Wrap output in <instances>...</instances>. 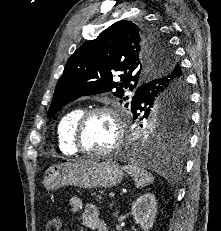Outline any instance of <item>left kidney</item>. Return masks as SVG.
<instances>
[{"mask_svg":"<svg viewBox=\"0 0 221 231\" xmlns=\"http://www.w3.org/2000/svg\"><path fill=\"white\" fill-rule=\"evenodd\" d=\"M157 201L152 193H146L132 204L131 214L144 231L153 227L157 213Z\"/></svg>","mask_w":221,"mask_h":231,"instance_id":"1","label":"left kidney"}]
</instances>
